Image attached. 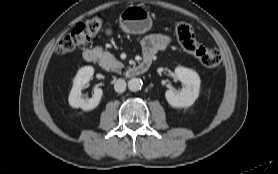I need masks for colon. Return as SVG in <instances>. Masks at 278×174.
I'll return each mask as SVG.
<instances>
[{"mask_svg":"<svg viewBox=\"0 0 278 174\" xmlns=\"http://www.w3.org/2000/svg\"><path fill=\"white\" fill-rule=\"evenodd\" d=\"M101 17H91L84 22L76 24L57 45L56 52L65 55L76 49L86 46L92 37L101 29ZM176 36L181 48L196 57L205 67H216L221 63L222 56L216 48H206L199 43L194 35L191 25L181 22L176 26Z\"/></svg>","mask_w":278,"mask_h":174,"instance_id":"5ec220e1","label":"colon"}]
</instances>
